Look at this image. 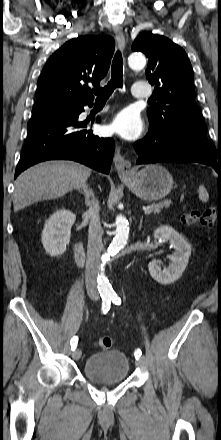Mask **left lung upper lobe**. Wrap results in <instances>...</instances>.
Masks as SVG:
<instances>
[{"mask_svg": "<svg viewBox=\"0 0 221 440\" xmlns=\"http://www.w3.org/2000/svg\"><path fill=\"white\" fill-rule=\"evenodd\" d=\"M149 59L148 81L155 86L158 105L147 109L150 126L156 130L184 124L206 131L204 119L195 103L193 70L186 52L170 39L144 32L132 45Z\"/></svg>", "mask_w": 221, "mask_h": 440, "instance_id": "1", "label": "left lung upper lobe"}]
</instances>
